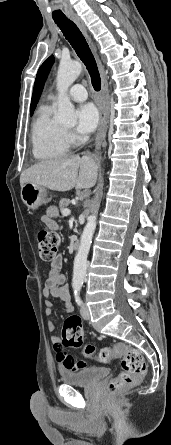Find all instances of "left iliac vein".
Returning a JSON list of instances; mask_svg holds the SVG:
<instances>
[{
  "label": "left iliac vein",
  "mask_w": 171,
  "mask_h": 445,
  "mask_svg": "<svg viewBox=\"0 0 171 445\" xmlns=\"http://www.w3.org/2000/svg\"><path fill=\"white\" fill-rule=\"evenodd\" d=\"M80 314L84 320H88L90 317L89 309L86 303H83L80 309Z\"/></svg>",
  "instance_id": "1"
}]
</instances>
